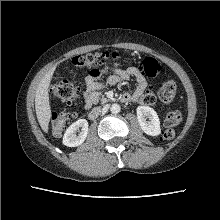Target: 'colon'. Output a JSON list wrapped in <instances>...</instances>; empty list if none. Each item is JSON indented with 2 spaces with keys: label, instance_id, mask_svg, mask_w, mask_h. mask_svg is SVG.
<instances>
[{
  "label": "colon",
  "instance_id": "5ec220e1",
  "mask_svg": "<svg viewBox=\"0 0 220 220\" xmlns=\"http://www.w3.org/2000/svg\"><path fill=\"white\" fill-rule=\"evenodd\" d=\"M120 55L116 52L93 53L81 55L72 59V65L79 69H89L91 72L99 70L100 67H116L120 65ZM142 72L149 77H156L161 72L159 62L152 58L146 57L141 63ZM53 100L61 101L66 104H74L79 98V89L66 79L56 81L50 89ZM177 94V84L174 80L165 81L159 89V99L164 103L172 102ZM143 104L153 105L156 98L153 94H146L142 98ZM76 114L61 111L54 112L51 115V127L55 135H60L71 119L75 118ZM182 120L180 111H170L164 117V125L166 129L162 133L164 141H169L175 136L174 127Z\"/></svg>",
  "mask_w": 220,
  "mask_h": 220
}]
</instances>
